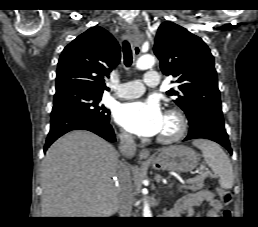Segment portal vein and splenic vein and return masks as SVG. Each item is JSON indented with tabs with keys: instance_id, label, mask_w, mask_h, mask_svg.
I'll use <instances>...</instances> for the list:
<instances>
[{
	"instance_id": "obj_1",
	"label": "portal vein and splenic vein",
	"mask_w": 258,
	"mask_h": 227,
	"mask_svg": "<svg viewBox=\"0 0 258 227\" xmlns=\"http://www.w3.org/2000/svg\"><path fill=\"white\" fill-rule=\"evenodd\" d=\"M198 173L201 174V175L205 174V173H203V172H198ZM198 181H199V177L188 178V179L185 180V183H186V184H193V183H196V182H198Z\"/></svg>"
}]
</instances>
